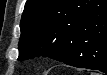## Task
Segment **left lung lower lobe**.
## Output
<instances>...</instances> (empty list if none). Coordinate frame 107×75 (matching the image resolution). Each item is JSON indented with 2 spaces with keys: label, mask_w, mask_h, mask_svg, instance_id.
<instances>
[{
  "label": "left lung lower lobe",
  "mask_w": 107,
  "mask_h": 75,
  "mask_svg": "<svg viewBox=\"0 0 107 75\" xmlns=\"http://www.w3.org/2000/svg\"><path fill=\"white\" fill-rule=\"evenodd\" d=\"M91 9L78 23L72 45L51 52V58L68 65L107 73V0H94Z\"/></svg>",
  "instance_id": "1"
}]
</instances>
